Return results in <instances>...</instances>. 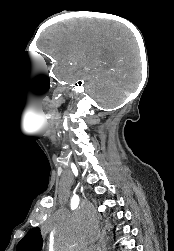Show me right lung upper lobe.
<instances>
[{"label": "right lung upper lobe", "instance_id": "1", "mask_svg": "<svg viewBox=\"0 0 174 251\" xmlns=\"http://www.w3.org/2000/svg\"><path fill=\"white\" fill-rule=\"evenodd\" d=\"M42 237L39 228L31 229L18 243L16 251H41Z\"/></svg>", "mask_w": 174, "mask_h": 251}]
</instances>
